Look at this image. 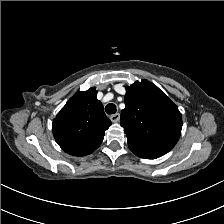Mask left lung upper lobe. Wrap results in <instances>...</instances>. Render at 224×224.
Here are the masks:
<instances>
[{
    "instance_id": "1",
    "label": "left lung upper lobe",
    "mask_w": 224,
    "mask_h": 224,
    "mask_svg": "<svg viewBox=\"0 0 224 224\" xmlns=\"http://www.w3.org/2000/svg\"><path fill=\"white\" fill-rule=\"evenodd\" d=\"M125 105L120 124L132 152L158 158L175 146L182 116L156 85L142 80L126 87Z\"/></svg>"
}]
</instances>
